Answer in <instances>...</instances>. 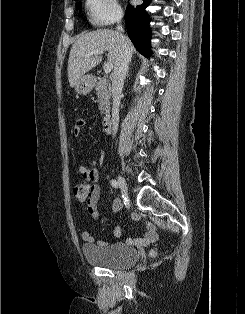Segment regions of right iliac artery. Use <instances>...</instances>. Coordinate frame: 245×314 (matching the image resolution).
Here are the masks:
<instances>
[{
    "label": "right iliac artery",
    "instance_id": "82829eb1",
    "mask_svg": "<svg viewBox=\"0 0 245 314\" xmlns=\"http://www.w3.org/2000/svg\"><path fill=\"white\" fill-rule=\"evenodd\" d=\"M110 183H111L112 187L119 188V184L116 180H111Z\"/></svg>",
    "mask_w": 245,
    "mask_h": 314
}]
</instances>
